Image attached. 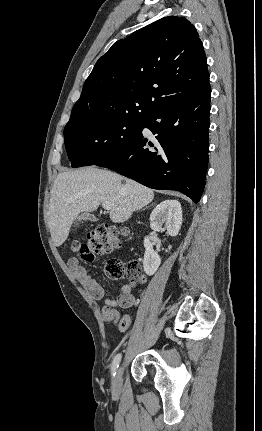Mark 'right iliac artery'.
I'll use <instances>...</instances> for the list:
<instances>
[{
	"mask_svg": "<svg viewBox=\"0 0 262 431\" xmlns=\"http://www.w3.org/2000/svg\"><path fill=\"white\" fill-rule=\"evenodd\" d=\"M120 360H121V354H117L114 357V360H113V363H112V368H111V371H112L113 375H115V370H116V368H118Z\"/></svg>",
	"mask_w": 262,
	"mask_h": 431,
	"instance_id": "82829eb1",
	"label": "right iliac artery"
}]
</instances>
